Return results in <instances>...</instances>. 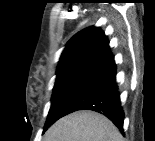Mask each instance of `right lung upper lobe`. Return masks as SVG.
<instances>
[{
  "mask_svg": "<svg viewBox=\"0 0 155 141\" xmlns=\"http://www.w3.org/2000/svg\"><path fill=\"white\" fill-rule=\"evenodd\" d=\"M111 55L105 34L97 27L86 28L67 43L57 74L78 69L96 71Z\"/></svg>",
  "mask_w": 155,
  "mask_h": 141,
  "instance_id": "1",
  "label": "right lung upper lobe"
}]
</instances>
